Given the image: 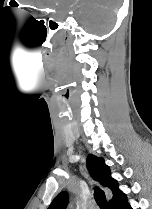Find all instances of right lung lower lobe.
<instances>
[{
    "label": "right lung lower lobe",
    "mask_w": 152,
    "mask_h": 209,
    "mask_svg": "<svg viewBox=\"0 0 152 209\" xmlns=\"http://www.w3.org/2000/svg\"><path fill=\"white\" fill-rule=\"evenodd\" d=\"M109 206L110 209H132L129 203H127L126 195L120 190L113 195Z\"/></svg>",
    "instance_id": "1"
}]
</instances>
